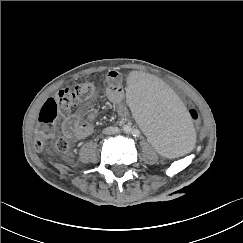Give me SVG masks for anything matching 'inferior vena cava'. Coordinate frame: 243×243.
<instances>
[{
	"label": "inferior vena cava",
	"mask_w": 243,
	"mask_h": 243,
	"mask_svg": "<svg viewBox=\"0 0 243 243\" xmlns=\"http://www.w3.org/2000/svg\"><path fill=\"white\" fill-rule=\"evenodd\" d=\"M119 132V128L118 127H107L104 130L105 134H115Z\"/></svg>",
	"instance_id": "obj_1"
}]
</instances>
